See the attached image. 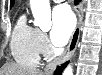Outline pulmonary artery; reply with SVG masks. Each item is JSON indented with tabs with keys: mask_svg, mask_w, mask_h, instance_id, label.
Returning <instances> with one entry per match:
<instances>
[{
	"mask_svg": "<svg viewBox=\"0 0 102 75\" xmlns=\"http://www.w3.org/2000/svg\"><path fill=\"white\" fill-rule=\"evenodd\" d=\"M62 1H64V0H58L57 2H62Z\"/></svg>",
	"mask_w": 102,
	"mask_h": 75,
	"instance_id": "1",
	"label": "pulmonary artery"
}]
</instances>
